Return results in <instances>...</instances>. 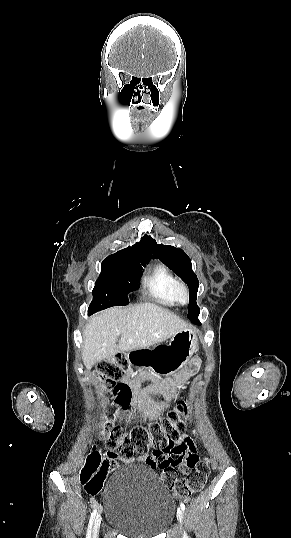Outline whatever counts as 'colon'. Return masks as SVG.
I'll return each mask as SVG.
<instances>
[{"label": "colon", "mask_w": 291, "mask_h": 538, "mask_svg": "<svg viewBox=\"0 0 291 538\" xmlns=\"http://www.w3.org/2000/svg\"><path fill=\"white\" fill-rule=\"evenodd\" d=\"M128 359L117 354L102 362L97 373L106 390L115 395V402L127 408L131 400V389L122 383L124 368ZM187 400L180 399L165 417L151 421L147 427L135 426L129 433L113 421L101 424L100 436L105 442L107 453L93 450L79 472V481L89 494L100 491L106 476L117 468V450L124 456L144 454L150 446L154 448L150 463L162 469L163 483L178 497H189L205 484L210 465L207 459L199 460L198 455L185 442L180 441V431L186 423ZM186 465L189 469L180 476L177 468Z\"/></svg>", "instance_id": "5ec220e1"}]
</instances>
